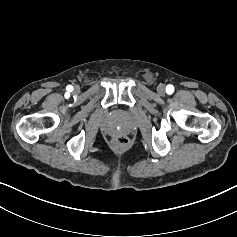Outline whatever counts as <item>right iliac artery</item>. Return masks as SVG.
Segmentation results:
<instances>
[{"label": "right iliac artery", "instance_id": "obj_1", "mask_svg": "<svg viewBox=\"0 0 237 237\" xmlns=\"http://www.w3.org/2000/svg\"><path fill=\"white\" fill-rule=\"evenodd\" d=\"M67 88L69 89L70 92L73 91V87L72 86H68Z\"/></svg>", "mask_w": 237, "mask_h": 237}]
</instances>
